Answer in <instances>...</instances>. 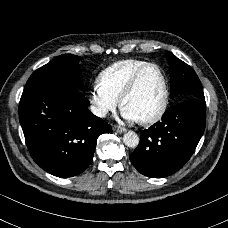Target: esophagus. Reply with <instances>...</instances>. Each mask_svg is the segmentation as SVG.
<instances>
[{"instance_id": "34e87169", "label": "esophagus", "mask_w": 228, "mask_h": 228, "mask_svg": "<svg viewBox=\"0 0 228 228\" xmlns=\"http://www.w3.org/2000/svg\"><path fill=\"white\" fill-rule=\"evenodd\" d=\"M113 130L120 134L125 133L127 131L125 128H123L121 126H117V125L113 126Z\"/></svg>"}]
</instances>
